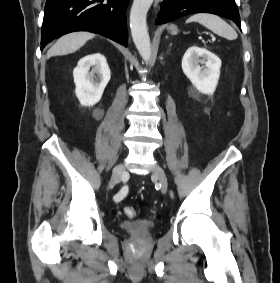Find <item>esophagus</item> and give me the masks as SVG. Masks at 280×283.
<instances>
[{
    "mask_svg": "<svg viewBox=\"0 0 280 283\" xmlns=\"http://www.w3.org/2000/svg\"><path fill=\"white\" fill-rule=\"evenodd\" d=\"M160 0H155L154 2V6H157V4L159 3Z\"/></svg>",
    "mask_w": 280,
    "mask_h": 283,
    "instance_id": "1",
    "label": "esophagus"
}]
</instances>
